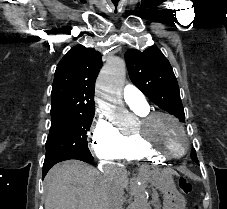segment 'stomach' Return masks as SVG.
<instances>
[{"mask_svg":"<svg viewBox=\"0 0 227 209\" xmlns=\"http://www.w3.org/2000/svg\"><path fill=\"white\" fill-rule=\"evenodd\" d=\"M149 182L163 194V209H185V198L178 191L174 180L165 171H153Z\"/></svg>","mask_w":227,"mask_h":209,"instance_id":"stomach-1","label":"stomach"}]
</instances>
